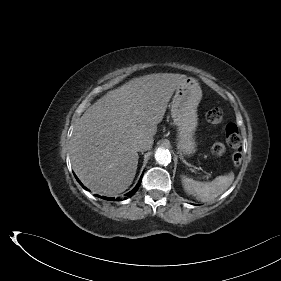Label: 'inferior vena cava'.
<instances>
[{"instance_id": "obj_1", "label": "inferior vena cava", "mask_w": 281, "mask_h": 281, "mask_svg": "<svg viewBox=\"0 0 281 281\" xmlns=\"http://www.w3.org/2000/svg\"><path fill=\"white\" fill-rule=\"evenodd\" d=\"M152 144H153L152 139H140L137 142V150L138 151H146V150L151 148Z\"/></svg>"}]
</instances>
